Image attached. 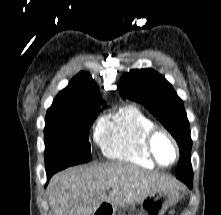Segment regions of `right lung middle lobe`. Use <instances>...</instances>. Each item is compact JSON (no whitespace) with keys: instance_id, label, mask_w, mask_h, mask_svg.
<instances>
[{"instance_id":"right-lung-middle-lobe-1","label":"right lung middle lobe","mask_w":221,"mask_h":215,"mask_svg":"<svg viewBox=\"0 0 221 215\" xmlns=\"http://www.w3.org/2000/svg\"><path fill=\"white\" fill-rule=\"evenodd\" d=\"M100 105L51 106L46 115L45 166L47 173L91 160L89 129Z\"/></svg>"}]
</instances>
